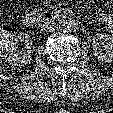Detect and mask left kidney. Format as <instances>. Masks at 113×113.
Returning <instances> with one entry per match:
<instances>
[{
  "mask_svg": "<svg viewBox=\"0 0 113 113\" xmlns=\"http://www.w3.org/2000/svg\"><path fill=\"white\" fill-rule=\"evenodd\" d=\"M98 41L105 44L106 51L99 48ZM94 56L101 62H113V36L106 33H98L93 39Z\"/></svg>",
  "mask_w": 113,
  "mask_h": 113,
  "instance_id": "1",
  "label": "left kidney"
}]
</instances>
